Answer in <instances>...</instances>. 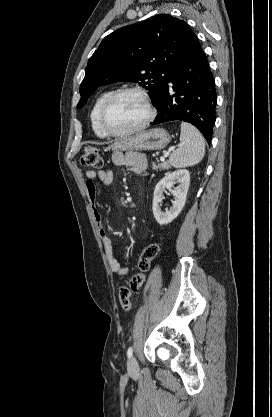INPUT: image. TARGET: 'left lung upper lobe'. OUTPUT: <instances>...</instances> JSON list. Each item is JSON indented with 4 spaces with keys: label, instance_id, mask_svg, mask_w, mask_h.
I'll return each mask as SVG.
<instances>
[{
    "label": "left lung upper lobe",
    "instance_id": "left-lung-upper-lobe-1",
    "mask_svg": "<svg viewBox=\"0 0 272 417\" xmlns=\"http://www.w3.org/2000/svg\"><path fill=\"white\" fill-rule=\"evenodd\" d=\"M201 48L187 23L159 14L106 36L89 59L77 108L100 86L118 81L139 83L154 106L172 72Z\"/></svg>",
    "mask_w": 272,
    "mask_h": 417
}]
</instances>
